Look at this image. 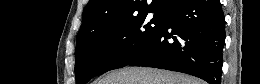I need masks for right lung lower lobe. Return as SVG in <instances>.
Returning <instances> with one entry per match:
<instances>
[{
    "label": "right lung lower lobe",
    "instance_id": "1",
    "mask_svg": "<svg viewBox=\"0 0 260 84\" xmlns=\"http://www.w3.org/2000/svg\"><path fill=\"white\" fill-rule=\"evenodd\" d=\"M152 44L130 66L187 73L221 84L225 17L219 0H180Z\"/></svg>",
    "mask_w": 260,
    "mask_h": 84
}]
</instances>
